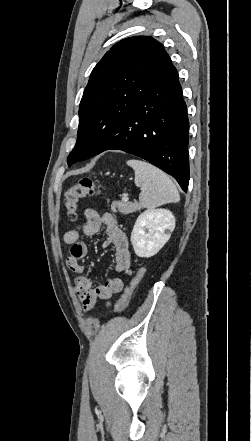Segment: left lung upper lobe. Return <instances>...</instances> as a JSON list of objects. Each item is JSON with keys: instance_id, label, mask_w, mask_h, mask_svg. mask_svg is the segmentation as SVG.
Returning a JSON list of instances; mask_svg holds the SVG:
<instances>
[{"instance_id": "left-lung-upper-lobe-1", "label": "left lung upper lobe", "mask_w": 251, "mask_h": 441, "mask_svg": "<svg viewBox=\"0 0 251 441\" xmlns=\"http://www.w3.org/2000/svg\"><path fill=\"white\" fill-rule=\"evenodd\" d=\"M171 64L161 43L135 36L116 43L92 70L79 107L76 145L67 163L88 159V141L101 122L127 115Z\"/></svg>"}]
</instances>
